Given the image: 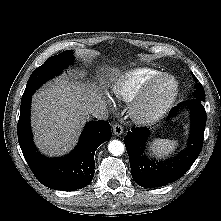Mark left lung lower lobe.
I'll return each instance as SVG.
<instances>
[{
	"mask_svg": "<svg viewBox=\"0 0 221 221\" xmlns=\"http://www.w3.org/2000/svg\"><path fill=\"white\" fill-rule=\"evenodd\" d=\"M191 130L186 149L168 161L150 160L144 154L145 142L149 136L146 127H134L124 137L129 155L131 174L135 182L145 188L165 186L179 179L192 166L199 156L204 138L206 112L201 101L190 100ZM179 107V106H178ZM174 107L168 118L176 115Z\"/></svg>",
	"mask_w": 221,
	"mask_h": 221,
	"instance_id": "obj_1",
	"label": "left lung lower lobe"
}]
</instances>
